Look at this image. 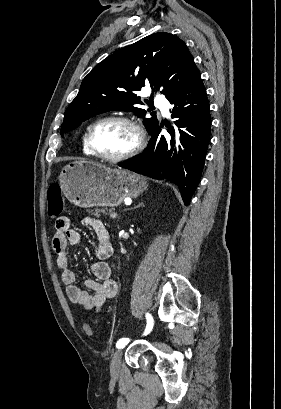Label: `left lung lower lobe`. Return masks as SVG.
Wrapping results in <instances>:
<instances>
[{"label": "left lung lower lobe", "mask_w": 281, "mask_h": 409, "mask_svg": "<svg viewBox=\"0 0 281 409\" xmlns=\"http://www.w3.org/2000/svg\"><path fill=\"white\" fill-rule=\"evenodd\" d=\"M170 103L173 105L172 118L176 119L174 124L179 128L187 127L189 132L178 129V148H175L174 138L170 140L160 136L158 125L145 151L119 166L176 183L184 204L188 205L201 178L211 133L209 102L198 69L189 84ZM168 131L174 136V127Z\"/></svg>", "instance_id": "obj_1"}]
</instances>
